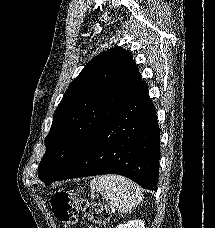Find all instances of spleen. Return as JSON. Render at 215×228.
Segmentation results:
<instances>
[{"label": "spleen", "mask_w": 215, "mask_h": 228, "mask_svg": "<svg viewBox=\"0 0 215 228\" xmlns=\"http://www.w3.org/2000/svg\"><path fill=\"white\" fill-rule=\"evenodd\" d=\"M90 188L94 192L103 194L107 200H112L119 212L133 210L142 200L139 186L123 176H116V174L94 176V180L90 182Z\"/></svg>", "instance_id": "spleen-1"}]
</instances>
